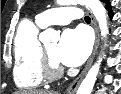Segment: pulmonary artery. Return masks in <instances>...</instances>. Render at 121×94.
Listing matches in <instances>:
<instances>
[{"mask_svg": "<svg viewBox=\"0 0 121 94\" xmlns=\"http://www.w3.org/2000/svg\"><path fill=\"white\" fill-rule=\"evenodd\" d=\"M82 15L78 8L73 6L51 8L37 16V21L43 26L51 24L66 25L73 20L81 19Z\"/></svg>", "mask_w": 121, "mask_h": 94, "instance_id": "e3ab8cb5", "label": "pulmonary artery"}]
</instances>
